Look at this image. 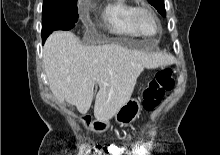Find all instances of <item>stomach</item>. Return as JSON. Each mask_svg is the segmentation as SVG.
<instances>
[{
  "label": "stomach",
  "mask_w": 220,
  "mask_h": 155,
  "mask_svg": "<svg viewBox=\"0 0 220 155\" xmlns=\"http://www.w3.org/2000/svg\"><path fill=\"white\" fill-rule=\"evenodd\" d=\"M142 110L140 98H130L115 114V120L121 125H128L139 118ZM110 126L108 121L95 120L89 124V129L96 133L105 132Z\"/></svg>",
  "instance_id": "stomach-1"
}]
</instances>
